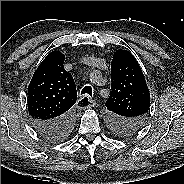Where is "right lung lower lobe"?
Instances as JSON below:
<instances>
[{
	"label": "right lung lower lobe",
	"instance_id": "98d812e1",
	"mask_svg": "<svg viewBox=\"0 0 184 184\" xmlns=\"http://www.w3.org/2000/svg\"><path fill=\"white\" fill-rule=\"evenodd\" d=\"M33 126L44 137H51L67 130L73 124L71 113L50 121L32 120Z\"/></svg>",
	"mask_w": 184,
	"mask_h": 184
}]
</instances>
